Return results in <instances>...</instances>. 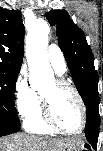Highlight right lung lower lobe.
<instances>
[{
    "label": "right lung lower lobe",
    "mask_w": 103,
    "mask_h": 151,
    "mask_svg": "<svg viewBox=\"0 0 103 151\" xmlns=\"http://www.w3.org/2000/svg\"><path fill=\"white\" fill-rule=\"evenodd\" d=\"M20 125L0 118V137L12 134L20 129Z\"/></svg>",
    "instance_id": "1"
}]
</instances>
